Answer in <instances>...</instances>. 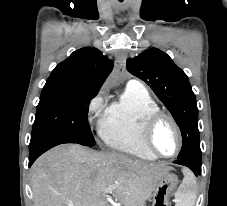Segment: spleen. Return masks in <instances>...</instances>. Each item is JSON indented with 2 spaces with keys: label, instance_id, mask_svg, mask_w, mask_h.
Returning <instances> with one entry per match:
<instances>
[{
  "label": "spleen",
  "instance_id": "3e777b00",
  "mask_svg": "<svg viewBox=\"0 0 227 206\" xmlns=\"http://www.w3.org/2000/svg\"><path fill=\"white\" fill-rule=\"evenodd\" d=\"M194 179L186 174L185 179L175 195L176 206H193L195 202Z\"/></svg>",
  "mask_w": 227,
  "mask_h": 206
}]
</instances>
